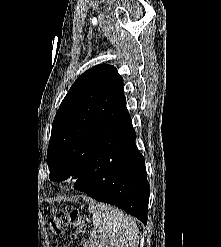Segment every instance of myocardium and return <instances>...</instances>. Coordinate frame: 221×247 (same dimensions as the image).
<instances>
[{"label":"myocardium","instance_id":"1","mask_svg":"<svg viewBox=\"0 0 221 247\" xmlns=\"http://www.w3.org/2000/svg\"><path fill=\"white\" fill-rule=\"evenodd\" d=\"M78 178V174L77 172H71L69 175H68V180L69 181H74Z\"/></svg>","mask_w":221,"mask_h":247}]
</instances>
